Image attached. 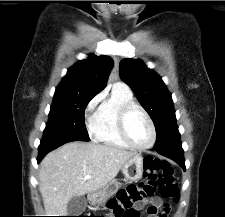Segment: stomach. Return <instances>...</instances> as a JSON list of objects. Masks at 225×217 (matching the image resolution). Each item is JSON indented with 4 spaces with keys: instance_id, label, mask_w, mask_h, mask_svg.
Returning <instances> with one entry per match:
<instances>
[{
    "instance_id": "obj_1",
    "label": "stomach",
    "mask_w": 225,
    "mask_h": 217,
    "mask_svg": "<svg viewBox=\"0 0 225 217\" xmlns=\"http://www.w3.org/2000/svg\"><path fill=\"white\" fill-rule=\"evenodd\" d=\"M143 161L144 158L141 155L136 154L122 166V173L127 180L138 181L142 178L144 172ZM119 185V182L114 180L111 181L103 188L97 190L96 192H93L89 196L90 202L92 204H101L102 202H105L108 198H110L117 192Z\"/></svg>"
}]
</instances>
